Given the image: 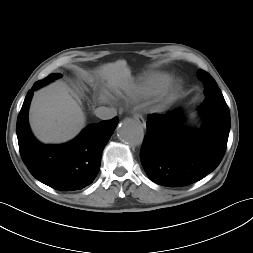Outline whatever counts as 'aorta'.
<instances>
[{"instance_id":"obj_1","label":"aorta","mask_w":253,"mask_h":253,"mask_svg":"<svg viewBox=\"0 0 253 253\" xmlns=\"http://www.w3.org/2000/svg\"><path fill=\"white\" fill-rule=\"evenodd\" d=\"M119 138L131 146L140 145L144 138V130L139 121L124 120L117 128Z\"/></svg>"}]
</instances>
